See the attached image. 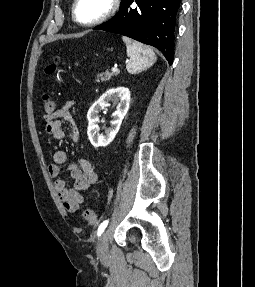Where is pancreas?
Returning <instances> with one entry per match:
<instances>
[{"label":"pancreas","instance_id":"cf45deb5","mask_svg":"<svg viewBox=\"0 0 255 287\" xmlns=\"http://www.w3.org/2000/svg\"><path fill=\"white\" fill-rule=\"evenodd\" d=\"M118 72H102V74H98L96 78V82H106V80H110L112 76H117Z\"/></svg>","mask_w":255,"mask_h":287}]
</instances>
